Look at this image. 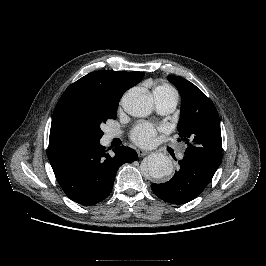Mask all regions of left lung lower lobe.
I'll list each match as a JSON object with an SVG mask.
<instances>
[{"instance_id": "obj_1", "label": "left lung lower lobe", "mask_w": 266, "mask_h": 266, "mask_svg": "<svg viewBox=\"0 0 266 266\" xmlns=\"http://www.w3.org/2000/svg\"><path fill=\"white\" fill-rule=\"evenodd\" d=\"M180 168L171 180L152 184V191L162 200L172 204H184L196 198L212 180L216 170L184 157Z\"/></svg>"}]
</instances>
